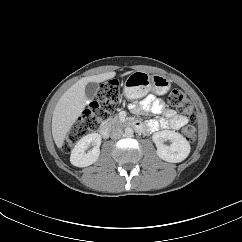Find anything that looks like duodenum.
Masks as SVG:
<instances>
[{
	"label": "duodenum",
	"mask_w": 242,
	"mask_h": 242,
	"mask_svg": "<svg viewBox=\"0 0 242 242\" xmlns=\"http://www.w3.org/2000/svg\"><path fill=\"white\" fill-rule=\"evenodd\" d=\"M128 125H129L130 127H132V128H133V127H136L135 122H129ZM109 134H110V126H108V125L103 126V127L101 128V130H100V135H101L103 138H107V137L109 136Z\"/></svg>",
	"instance_id": "1"
}]
</instances>
